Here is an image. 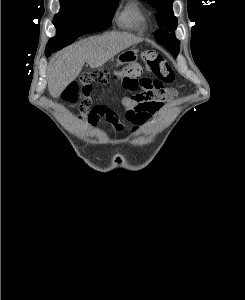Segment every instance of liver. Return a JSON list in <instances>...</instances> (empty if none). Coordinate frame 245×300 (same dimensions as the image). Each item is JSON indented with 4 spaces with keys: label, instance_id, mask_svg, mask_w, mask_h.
<instances>
[{
    "label": "liver",
    "instance_id": "6515ba94",
    "mask_svg": "<svg viewBox=\"0 0 245 300\" xmlns=\"http://www.w3.org/2000/svg\"><path fill=\"white\" fill-rule=\"evenodd\" d=\"M140 40L127 33L110 32L82 40L60 52L51 63L48 73V89L54 98L80 74L84 63L91 68L104 65L122 50Z\"/></svg>",
    "mask_w": 245,
    "mask_h": 300
}]
</instances>
